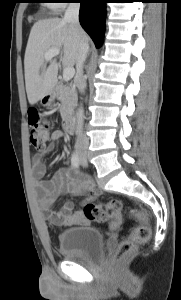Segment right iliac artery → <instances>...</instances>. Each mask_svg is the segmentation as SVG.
Here are the masks:
<instances>
[{
    "label": "right iliac artery",
    "mask_w": 181,
    "mask_h": 300,
    "mask_svg": "<svg viewBox=\"0 0 181 300\" xmlns=\"http://www.w3.org/2000/svg\"><path fill=\"white\" fill-rule=\"evenodd\" d=\"M71 164H72L73 167H75V168H79V166H80V160H79V156H78L77 151H75V152L72 154V157H71Z\"/></svg>",
    "instance_id": "right-iliac-artery-1"
}]
</instances>
